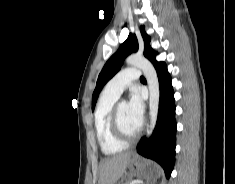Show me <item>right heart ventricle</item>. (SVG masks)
Returning a JSON list of instances; mask_svg holds the SVG:
<instances>
[{
    "label": "right heart ventricle",
    "mask_w": 235,
    "mask_h": 184,
    "mask_svg": "<svg viewBox=\"0 0 235 184\" xmlns=\"http://www.w3.org/2000/svg\"><path fill=\"white\" fill-rule=\"evenodd\" d=\"M116 100V97L103 93L94 111V130L100 148L105 155H114L126 148V143L118 139L111 128V113Z\"/></svg>",
    "instance_id": "e07e8e85"
}]
</instances>
